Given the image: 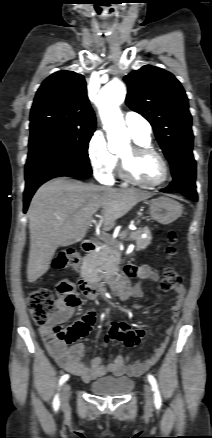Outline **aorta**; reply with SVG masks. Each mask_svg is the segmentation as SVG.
Returning a JSON list of instances; mask_svg holds the SVG:
<instances>
[{
  "label": "aorta",
  "instance_id": "aorta-1",
  "mask_svg": "<svg viewBox=\"0 0 212 438\" xmlns=\"http://www.w3.org/2000/svg\"><path fill=\"white\" fill-rule=\"evenodd\" d=\"M126 96V87L120 80H112L103 86L97 97V106L104 128L107 132L109 149L115 151L116 144L129 142V135L125 126L120 104Z\"/></svg>",
  "mask_w": 212,
  "mask_h": 438
}]
</instances>
